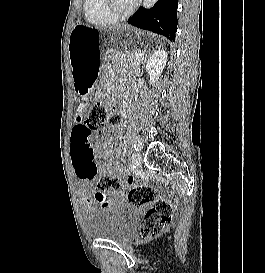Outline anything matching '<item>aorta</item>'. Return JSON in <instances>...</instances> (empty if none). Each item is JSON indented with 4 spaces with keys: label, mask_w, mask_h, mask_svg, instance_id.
I'll return each instance as SVG.
<instances>
[{
    "label": "aorta",
    "mask_w": 265,
    "mask_h": 273,
    "mask_svg": "<svg viewBox=\"0 0 265 273\" xmlns=\"http://www.w3.org/2000/svg\"><path fill=\"white\" fill-rule=\"evenodd\" d=\"M156 2L157 0H143V7L150 9L156 4Z\"/></svg>",
    "instance_id": "obj_1"
}]
</instances>
